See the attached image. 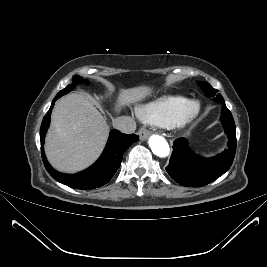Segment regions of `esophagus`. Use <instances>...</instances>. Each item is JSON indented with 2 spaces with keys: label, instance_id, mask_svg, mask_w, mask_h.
<instances>
[{
  "label": "esophagus",
  "instance_id": "1",
  "mask_svg": "<svg viewBox=\"0 0 267 267\" xmlns=\"http://www.w3.org/2000/svg\"><path fill=\"white\" fill-rule=\"evenodd\" d=\"M138 134L141 140H146L149 137L150 132L145 128H141Z\"/></svg>",
  "mask_w": 267,
  "mask_h": 267
}]
</instances>
